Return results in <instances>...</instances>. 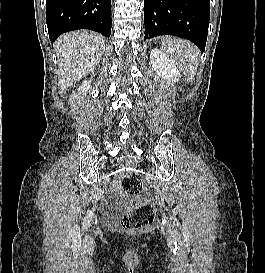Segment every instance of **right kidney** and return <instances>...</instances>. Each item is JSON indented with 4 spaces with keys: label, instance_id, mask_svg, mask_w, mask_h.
Segmentation results:
<instances>
[{
    "label": "right kidney",
    "instance_id": "obj_1",
    "mask_svg": "<svg viewBox=\"0 0 265 273\" xmlns=\"http://www.w3.org/2000/svg\"><path fill=\"white\" fill-rule=\"evenodd\" d=\"M90 83L91 81H84L78 88V92L85 93L89 90L90 88Z\"/></svg>",
    "mask_w": 265,
    "mask_h": 273
}]
</instances>
